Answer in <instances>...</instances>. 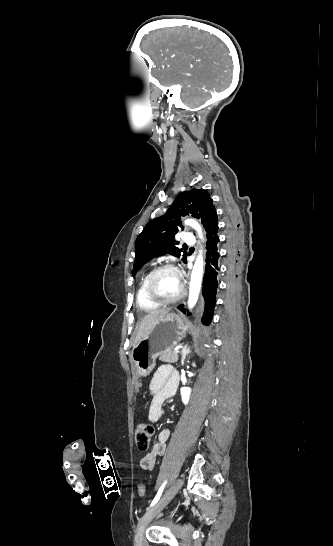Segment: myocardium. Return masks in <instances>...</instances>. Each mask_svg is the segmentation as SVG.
Wrapping results in <instances>:
<instances>
[{"mask_svg": "<svg viewBox=\"0 0 333 546\" xmlns=\"http://www.w3.org/2000/svg\"><path fill=\"white\" fill-rule=\"evenodd\" d=\"M165 270H173V271L179 273V270L175 265H173V264H163V265H160V266L156 267L154 270H152L149 273V275L147 277V280H146V284H145V291H146V294H147L148 298L152 302H154V303H156L158 305L174 304V303L178 302L179 300H181L185 296V293H186L185 286H184V284H182V288H181L180 293L177 296H175L174 298L164 299V298H161L158 294H156V292L153 289V281H154L155 277L160 272L165 271Z\"/></svg>", "mask_w": 333, "mask_h": 546, "instance_id": "f54148a6", "label": "myocardium"}]
</instances>
